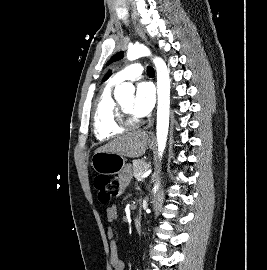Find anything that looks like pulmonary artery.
<instances>
[{"label":"pulmonary artery","instance_id":"pulmonary-artery-1","mask_svg":"<svg viewBox=\"0 0 267 270\" xmlns=\"http://www.w3.org/2000/svg\"><path fill=\"white\" fill-rule=\"evenodd\" d=\"M143 72H144L143 66L139 63H135L117 72L114 75L113 79L117 82H122L125 80L134 81V80L139 79L141 75L143 74Z\"/></svg>","mask_w":267,"mask_h":270}]
</instances>
